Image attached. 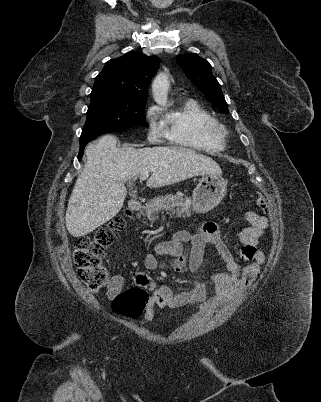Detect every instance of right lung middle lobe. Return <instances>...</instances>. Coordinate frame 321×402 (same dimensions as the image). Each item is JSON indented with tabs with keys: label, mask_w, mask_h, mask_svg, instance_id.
Segmentation results:
<instances>
[{
	"label": "right lung middle lobe",
	"mask_w": 321,
	"mask_h": 402,
	"mask_svg": "<svg viewBox=\"0 0 321 402\" xmlns=\"http://www.w3.org/2000/svg\"><path fill=\"white\" fill-rule=\"evenodd\" d=\"M146 101L92 92L87 120L80 138H95L103 133L119 131L144 124Z\"/></svg>",
	"instance_id": "obj_1"
}]
</instances>
